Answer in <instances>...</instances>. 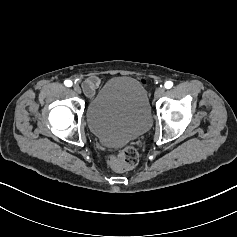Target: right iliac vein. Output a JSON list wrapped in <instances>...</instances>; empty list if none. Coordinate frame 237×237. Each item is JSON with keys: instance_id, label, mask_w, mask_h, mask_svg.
Instances as JSON below:
<instances>
[{"instance_id": "right-iliac-vein-1", "label": "right iliac vein", "mask_w": 237, "mask_h": 237, "mask_svg": "<svg viewBox=\"0 0 237 237\" xmlns=\"http://www.w3.org/2000/svg\"><path fill=\"white\" fill-rule=\"evenodd\" d=\"M73 90L77 93V94H81V88L78 85H74Z\"/></svg>"}]
</instances>
